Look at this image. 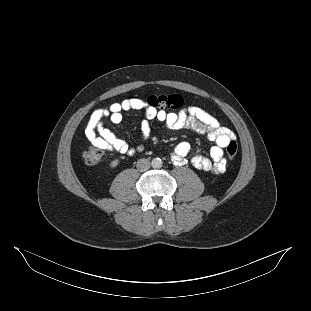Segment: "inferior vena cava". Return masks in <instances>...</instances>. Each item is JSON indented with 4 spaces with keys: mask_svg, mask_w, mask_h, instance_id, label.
<instances>
[{
    "mask_svg": "<svg viewBox=\"0 0 311 311\" xmlns=\"http://www.w3.org/2000/svg\"><path fill=\"white\" fill-rule=\"evenodd\" d=\"M136 166L139 171L144 172L150 168L151 163L148 159L142 158L137 161Z\"/></svg>",
    "mask_w": 311,
    "mask_h": 311,
    "instance_id": "obj_1",
    "label": "inferior vena cava"
}]
</instances>
